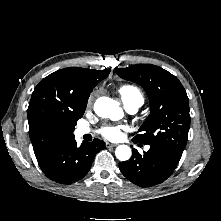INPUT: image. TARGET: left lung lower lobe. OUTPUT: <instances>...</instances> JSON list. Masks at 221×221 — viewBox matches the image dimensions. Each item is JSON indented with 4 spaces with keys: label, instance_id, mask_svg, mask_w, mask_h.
<instances>
[{
    "label": "left lung lower lobe",
    "instance_id": "obj_1",
    "mask_svg": "<svg viewBox=\"0 0 221 221\" xmlns=\"http://www.w3.org/2000/svg\"><path fill=\"white\" fill-rule=\"evenodd\" d=\"M133 141L137 142L135 139ZM181 155L163 146L150 145V149L143 155L133 149V156L129 161L120 162L119 168L134 184L151 187L162 183L172 174Z\"/></svg>",
    "mask_w": 221,
    "mask_h": 221
}]
</instances>
